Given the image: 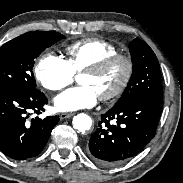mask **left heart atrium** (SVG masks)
<instances>
[{
  "instance_id": "1",
  "label": "left heart atrium",
  "mask_w": 183,
  "mask_h": 183,
  "mask_svg": "<svg viewBox=\"0 0 183 183\" xmlns=\"http://www.w3.org/2000/svg\"><path fill=\"white\" fill-rule=\"evenodd\" d=\"M98 94L89 86L71 88L54 99L59 111H76L93 107L98 101Z\"/></svg>"
}]
</instances>
